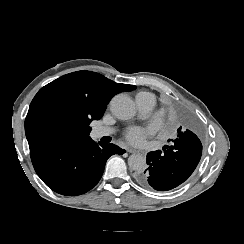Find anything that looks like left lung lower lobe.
<instances>
[{
	"instance_id": "left-lung-lower-lobe-1",
	"label": "left lung lower lobe",
	"mask_w": 244,
	"mask_h": 244,
	"mask_svg": "<svg viewBox=\"0 0 244 244\" xmlns=\"http://www.w3.org/2000/svg\"><path fill=\"white\" fill-rule=\"evenodd\" d=\"M198 136L196 122L183 117L177 136L168 140L170 144L165 145L163 151L147 154L148 168L137 174L138 183L145 188L151 186L158 191H167L187 180L201 158L202 144Z\"/></svg>"
}]
</instances>
